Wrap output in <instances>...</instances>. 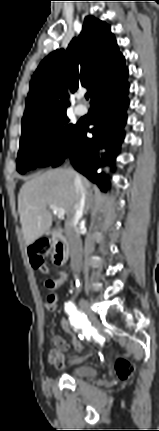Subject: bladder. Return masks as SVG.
Instances as JSON below:
<instances>
[{
  "mask_svg": "<svg viewBox=\"0 0 159 431\" xmlns=\"http://www.w3.org/2000/svg\"><path fill=\"white\" fill-rule=\"evenodd\" d=\"M70 375L73 378H90L96 375V370L90 365H79L75 367Z\"/></svg>",
  "mask_w": 159,
  "mask_h": 431,
  "instance_id": "obj_1",
  "label": "bladder"
}]
</instances>
